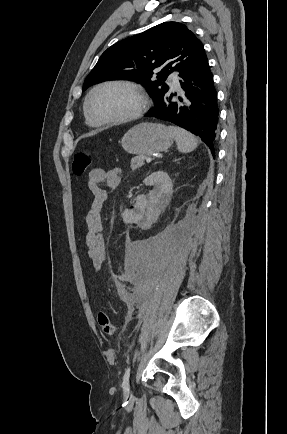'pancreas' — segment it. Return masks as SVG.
<instances>
[{
	"label": "pancreas",
	"mask_w": 287,
	"mask_h": 434,
	"mask_svg": "<svg viewBox=\"0 0 287 434\" xmlns=\"http://www.w3.org/2000/svg\"><path fill=\"white\" fill-rule=\"evenodd\" d=\"M144 160H145L144 155H139V156L132 158V160L130 162L131 169L133 171L139 169L144 164Z\"/></svg>",
	"instance_id": "pancreas-1"
}]
</instances>
